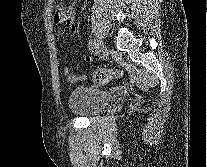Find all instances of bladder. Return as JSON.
<instances>
[{"label":"bladder","instance_id":"obj_1","mask_svg":"<svg viewBox=\"0 0 207 167\" xmlns=\"http://www.w3.org/2000/svg\"><path fill=\"white\" fill-rule=\"evenodd\" d=\"M113 95L106 90L90 86L75 87L68 96V107L78 115L89 116L106 108Z\"/></svg>","mask_w":207,"mask_h":167}]
</instances>
